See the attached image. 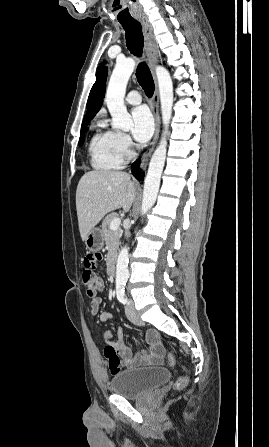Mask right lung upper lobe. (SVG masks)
<instances>
[{
  "label": "right lung upper lobe",
  "mask_w": 269,
  "mask_h": 447,
  "mask_svg": "<svg viewBox=\"0 0 269 447\" xmlns=\"http://www.w3.org/2000/svg\"><path fill=\"white\" fill-rule=\"evenodd\" d=\"M106 79H107V68H105L104 71L102 72L99 85L95 90L89 109L83 119L82 126L85 124H89V122L93 119L96 113L100 110L105 94Z\"/></svg>",
  "instance_id": "obj_1"
}]
</instances>
